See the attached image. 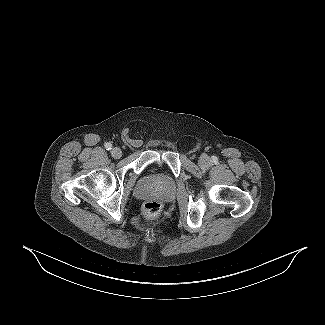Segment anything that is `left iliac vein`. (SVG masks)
I'll use <instances>...</instances> for the list:
<instances>
[{"label": "left iliac vein", "mask_w": 325, "mask_h": 325, "mask_svg": "<svg viewBox=\"0 0 325 325\" xmlns=\"http://www.w3.org/2000/svg\"><path fill=\"white\" fill-rule=\"evenodd\" d=\"M211 165V160L208 156H202L199 159V166L203 169L208 168Z\"/></svg>", "instance_id": "1"}]
</instances>
